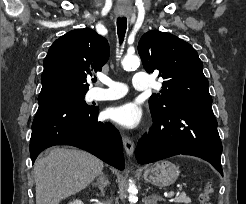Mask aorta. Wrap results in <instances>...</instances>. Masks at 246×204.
<instances>
[{
    "label": "aorta",
    "instance_id": "1",
    "mask_svg": "<svg viewBox=\"0 0 246 204\" xmlns=\"http://www.w3.org/2000/svg\"><path fill=\"white\" fill-rule=\"evenodd\" d=\"M140 65V59L136 55H126L123 60H122V66L124 68H134L138 67ZM136 186L132 180H129V187H128V192H129V202L131 204L136 202Z\"/></svg>",
    "mask_w": 246,
    "mask_h": 204
}]
</instances>
